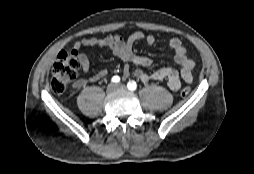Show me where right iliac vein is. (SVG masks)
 Listing matches in <instances>:
<instances>
[{
	"label": "right iliac vein",
	"instance_id": "1",
	"mask_svg": "<svg viewBox=\"0 0 254 174\" xmlns=\"http://www.w3.org/2000/svg\"><path fill=\"white\" fill-rule=\"evenodd\" d=\"M116 90V85L111 83L107 87V93H113Z\"/></svg>",
	"mask_w": 254,
	"mask_h": 174
}]
</instances>
